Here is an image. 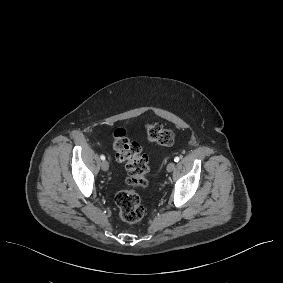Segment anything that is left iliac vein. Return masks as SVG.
I'll list each match as a JSON object with an SVG mask.
<instances>
[{"label":"left iliac vein","instance_id":"4c4485c4","mask_svg":"<svg viewBox=\"0 0 283 283\" xmlns=\"http://www.w3.org/2000/svg\"><path fill=\"white\" fill-rule=\"evenodd\" d=\"M175 168V163L174 162H170L168 165H167V171L168 172H172Z\"/></svg>","mask_w":283,"mask_h":283}]
</instances>
